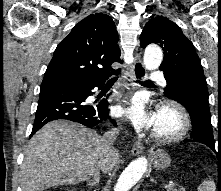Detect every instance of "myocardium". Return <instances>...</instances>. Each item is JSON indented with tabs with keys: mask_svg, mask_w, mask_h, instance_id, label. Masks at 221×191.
Instances as JSON below:
<instances>
[{
	"mask_svg": "<svg viewBox=\"0 0 221 191\" xmlns=\"http://www.w3.org/2000/svg\"><path fill=\"white\" fill-rule=\"evenodd\" d=\"M163 112L171 113L176 119V127L170 132H161L154 128L152 137L161 143H172L182 139L189 131L191 119L187 110L178 102L163 101L158 108V115Z\"/></svg>",
	"mask_w": 221,
	"mask_h": 191,
	"instance_id": "1",
	"label": "myocardium"
}]
</instances>
